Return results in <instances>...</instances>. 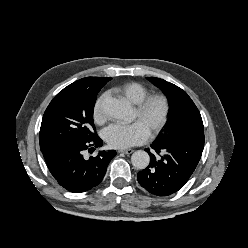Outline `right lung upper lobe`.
Masks as SVG:
<instances>
[{"instance_id": "cb5924a9", "label": "right lung upper lobe", "mask_w": 248, "mask_h": 248, "mask_svg": "<svg viewBox=\"0 0 248 248\" xmlns=\"http://www.w3.org/2000/svg\"><path fill=\"white\" fill-rule=\"evenodd\" d=\"M111 78L106 77H86L75 81L66 88L93 91L102 88Z\"/></svg>"}]
</instances>
